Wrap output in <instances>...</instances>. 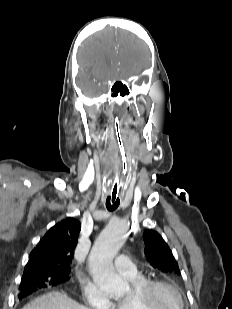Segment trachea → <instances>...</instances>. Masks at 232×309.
<instances>
[{
	"mask_svg": "<svg viewBox=\"0 0 232 309\" xmlns=\"http://www.w3.org/2000/svg\"><path fill=\"white\" fill-rule=\"evenodd\" d=\"M120 190H121V167L117 166L115 175L112 181L110 194L106 200V207L109 211H114L120 204Z\"/></svg>",
	"mask_w": 232,
	"mask_h": 309,
	"instance_id": "1",
	"label": "trachea"
}]
</instances>
